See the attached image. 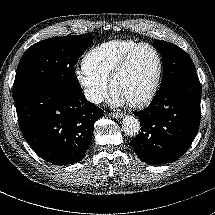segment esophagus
Returning <instances> with one entry per match:
<instances>
[{"label":"esophagus","instance_id":"34e87169","mask_svg":"<svg viewBox=\"0 0 215 215\" xmlns=\"http://www.w3.org/2000/svg\"><path fill=\"white\" fill-rule=\"evenodd\" d=\"M124 116V114H122V113H115L114 115H113V117L114 118H122Z\"/></svg>","mask_w":215,"mask_h":215}]
</instances>
